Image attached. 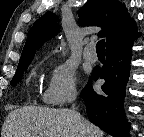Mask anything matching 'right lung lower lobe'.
Segmentation results:
<instances>
[{"label": "right lung lower lobe", "mask_w": 144, "mask_h": 137, "mask_svg": "<svg viewBox=\"0 0 144 137\" xmlns=\"http://www.w3.org/2000/svg\"><path fill=\"white\" fill-rule=\"evenodd\" d=\"M133 40L134 37L119 46L107 49L105 65L93 71V80H105L102 92L96 93L88 83L81 93L90 121L114 137L128 136L123 100L130 73Z\"/></svg>", "instance_id": "right-lung-lower-lobe-1"}]
</instances>
